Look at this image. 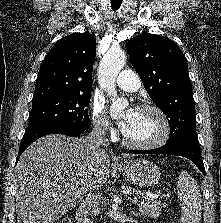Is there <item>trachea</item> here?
Listing matches in <instances>:
<instances>
[{
    "label": "trachea",
    "mask_w": 221,
    "mask_h": 223,
    "mask_svg": "<svg viewBox=\"0 0 221 223\" xmlns=\"http://www.w3.org/2000/svg\"><path fill=\"white\" fill-rule=\"evenodd\" d=\"M122 4V0H111V7L115 11L117 10Z\"/></svg>",
    "instance_id": "1"
}]
</instances>
